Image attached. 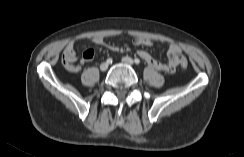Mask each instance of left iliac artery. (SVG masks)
I'll use <instances>...</instances> for the list:
<instances>
[{
  "label": "left iliac artery",
  "mask_w": 244,
  "mask_h": 157,
  "mask_svg": "<svg viewBox=\"0 0 244 157\" xmlns=\"http://www.w3.org/2000/svg\"><path fill=\"white\" fill-rule=\"evenodd\" d=\"M134 62H135L136 64H140V60H139L138 58H135V59H134Z\"/></svg>",
  "instance_id": "obj_1"
}]
</instances>
